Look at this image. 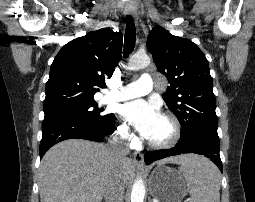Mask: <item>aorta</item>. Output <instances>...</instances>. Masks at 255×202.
<instances>
[{
  "instance_id": "aorta-1",
  "label": "aorta",
  "mask_w": 255,
  "mask_h": 202,
  "mask_svg": "<svg viewBox=\"0 0 255 202\" xmlns=\"http://www.w3.org/2000/svg\"><path fill=\"white\" fill-rule=\"evenodd\" d=\"M150 64V58L146 54H135L129 61L131 70L146 68ZM145 185L141 178H137L132 186L131 202H144Z\"/></svg>"
}]
</instances>
